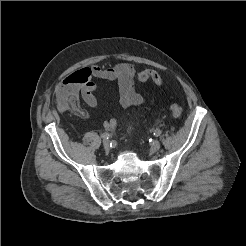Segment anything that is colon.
Instances as JSON below:
<instances>
[{
	"mask_svg": "<svg viewBox=\"0 0 246 246\" xmlns=\"http://www.w3.org/2000/svg\"><path fill=\"white\" fill-rule=\"evenodd\" d=\"M137 79L141 83L151 81L158 86L162 85L163 82L161 75L157 71L147 68L137 73ZM169 112L173 118L177 119L182 115L183 108L177 103H172L169 107Z\"/></svg>",
	"mask_w": 246,
	"mask_h": 246,
	"instance_id": "colon-1",
	"label": "colon"
}]
</instances>
